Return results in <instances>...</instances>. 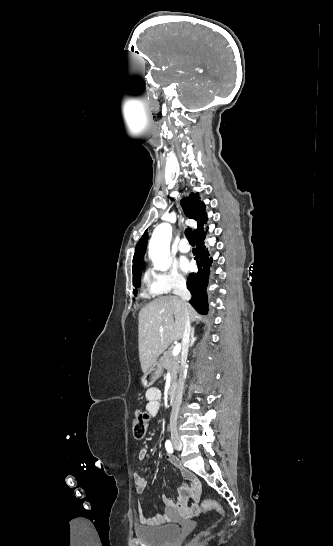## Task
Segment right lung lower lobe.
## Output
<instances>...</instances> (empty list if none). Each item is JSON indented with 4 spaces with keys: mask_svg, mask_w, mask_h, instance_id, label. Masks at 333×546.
Here are the masks:
<instances>
[{
    "mask_svg": "<svg viewBox=\"0 0 333 546\" xmlns=\"http://www.w3.org/2000/svg\"><path fill=\"white\" fill-rule=\"evenodd\" d=\"M204 230L195 235L196 249L193 250L194 259L197 261L198 271L191 273L187 278V288L191 292L190 304L200 314L208 313V278L212 257H208V249L204 245Z\"/></svg>",
    "mask_w": 333,
    "mask_h": 546,
    "instance_id": "98d812e1",
    "label": "right lung lower lobe"
}]
</instances>
